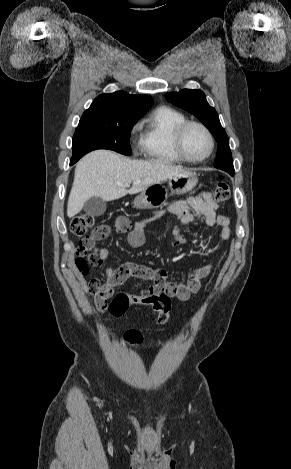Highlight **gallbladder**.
I'll return each instance as SVG.
<instances>
[{
    "label": "gallbladder",
    "instance_id": "bac80fb5",
    "mask_svg": "<svg viewBox=\"0 0 291 469\" xmlns=\"http://www.w3.org/2000/svg\"><path fill=\"white\" fill-rule=\"evenodd\" d=\"M83 210L90 216H101L106 210V202L93 196L84 203Z\"/></svg>",
    "mask_w": 291,
    "mask_h": 469
}]
</instances>
